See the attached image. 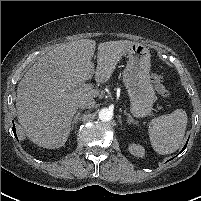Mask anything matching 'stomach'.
Returning <instances> with one entry per match:
<instances>
[{"label":"stomach","mask_w":201,"mask_h":201,"mask_svg":"<svg viewBox=\"0 0 201 201\" xmlns=\"http://www.w3.org/2000/svg\"><path fill=\"white\" fill-rule=\"evenodd\" d=\"M123 55L128 59L123 83L130 98L131 112L135 117H145L151 112L155 100L149 76L150 51L143 44L132 42Z\"/></svg>","instance_id":"0dacf381"}]
</instances>
